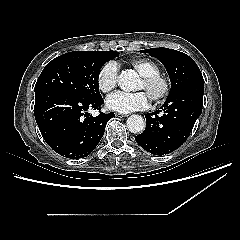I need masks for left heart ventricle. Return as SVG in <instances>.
I'll list each match as a JSON object with an SVG mask.
<instances>
[{
    "label": "left heart ventricle",
    "mask_w": 240,
    "mask_h": 240,
    "mask_svg": "<svg viewBox=\"0 0 240 240\" xmlns=\"http://www.w3.org/2000/svg\"><path fill=\"white\" fill-rule=\"evenodd\" d=\"M138 89L145 91V93L147 94L148 97H151L152 94L157 90L156 87H154V88H152V89L146 87V86L144 85V83L142 82V80L139 81Z\"/></svg>",
    "instance_id": "obj_1"
}]
</instances>
